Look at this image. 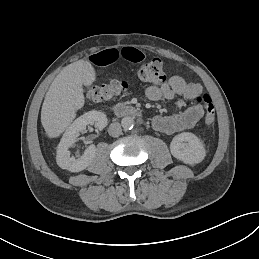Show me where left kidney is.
Listing matches in <instances>:
<instances>
[{
    "mask_svg": "<svg viewBox=\"0 0 259 259\" xmlns=\"http://www.w3.org/2000/svg\"><path fill=\"white\" fill-rule=\"evenodd\" d=\"M170 151L175 158L189 165L200 163L206 155L203 142L189 132L176 135L171 141Z\"/></svg>",
    "mask_w": 259,
    "mask_h": 259,
    "instance_id": "left-kidney-1",
    "label": "left kidney"
}]
</instances>
